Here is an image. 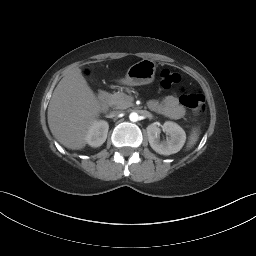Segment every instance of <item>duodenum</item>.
Segmentation results:
<instances>
[{
    "instance_id": "1",
    "label": "duodenum",
    "mask_w": 256,
    "mask_h": 256,
    "mask_svg": "<svg viewBox=\"0 0 256 256\" xmlns=\"http://www.w3.org/2000/svg\"><path fill=\"white\" fill-rule=\"evenodd\" d=\"M108 104V94L105 91H101L97 95V105L100 108H105Z\"/></svg>"
}]
</instances>
